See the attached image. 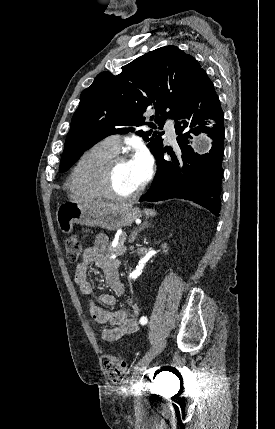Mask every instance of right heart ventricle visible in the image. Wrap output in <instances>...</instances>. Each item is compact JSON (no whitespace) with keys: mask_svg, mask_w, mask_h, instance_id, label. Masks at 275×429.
<instances>
[{"mask_svg":"<svg viewBox=\"0 0 275 429\" xmlns=\"http://www.w3.org/2000/svg\"><path fill=\"white\" fill-rule=\"evenodd\" d=\"M116 154L103 142L86 150L80 157L68 179L69 189L86 199L99 200L105 196L101 189L103 169L106 162Z\"/></svg>","mask_w":275,"mask_h":429,"instance_id":"right-heart-ventricle-1","label":"right heart ventricle"}]
</instances>
